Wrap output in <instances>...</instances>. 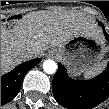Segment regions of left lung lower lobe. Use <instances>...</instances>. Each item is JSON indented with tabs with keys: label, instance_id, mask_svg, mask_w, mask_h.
Here are the masks:
<instances>
[{
	"label": "left lung lower lobe",
	"instance_id": "left-lung-lower-lobe-1",
	"mask_svg": "<svg viewBox=\"0 0 109 109\" xmlns=\"http://www.w3.org/2000/svg\"><path fill=\"white\" fill-rule=\"evenodd\" d=\"M102 27L109 41V34ZM52 92L56 101L67 109H91L99 105L109 97V63L103 73L84 81L68 78L66 69L59 64L52 81Z\"/></svg>",
	"mask_w": 109,
	"mask_h": 109
}]
</instances>
